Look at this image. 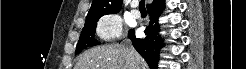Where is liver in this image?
<instances>
[{"label":"liver","instance_id":"liver-1","mask_svg":"<svg viewBox=\"0 0 246 69\" xmlns=\"http://www.w3.org/2000/svg\"><path fill=\"white\" fill-rule=\"evenodd\" d=\"M147 69L141 56L129 47L111 44L92 48L85 52L75 69Z\"/></svg>","mask_w":246,"mask_h":69}]
</instances>
